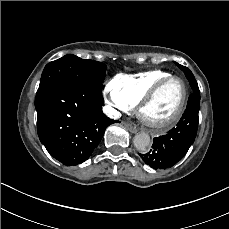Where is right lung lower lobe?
<instances>
[{
  "mask_svg": "<svg viewBox=\"0 0 229 229\" xmlns=\"http://www.w3.org/2000/svg\"><path fill=\"white\" fill-rule=\"evenodd\" d=\"M101 92L82 82L65 80L36 96L39 139L61 163L77 165L87 160L105 129L116 122L103 114Z\"/></svg>",
  "mask_w": 229,
  "mask_h": 229,
  "instance_id": "right-lung-lower-lobe-1",
  "label": "right lung lower lobe"
}]
</instances>
